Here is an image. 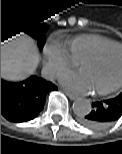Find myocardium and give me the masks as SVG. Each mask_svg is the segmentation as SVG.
<instances>
[{
    "label": "myocardium",
    "mask_w": 122,
    "mask_h": 154,
    "mask_svg": "<svg viewBox=\"0 0 122 154\" xmlns=\"http://www.w3.org/2000/svg\"><path fill=\"white\" fill-rule=\"evenodd\" d=\"M114 49H121L122 50V45H118V44H115V45H111L109 47H106V48H103L95 53H92V54H89L85 57H83L80 61H79V65L80 67L85 63V62H88V61H92V60H96V59H99L101 56H103L105 53L109 52V51H112ZM120 87H122V76L119 78L118 81H116L114 84L106 87V88H103V89H100V90H97V91H93V93L95 95H107V94H110L112 92H115L116 90H118Z\"/></svg>",
    "instance_id": "f54148a6"
}]
</instances>
